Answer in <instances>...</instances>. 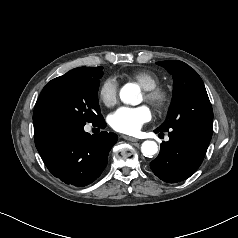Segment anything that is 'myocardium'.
<instances>
[{
  "label": "myocardium",
  "instance_id": "1",
  "mask_svg": "<svg viewBox=\"0 0 238 238\" xmlns=\"http://www.w3.org/2000/svg\"><path fill=\"white\" fill-rule=\"evenodd\" d=\"M144 98L159 112L165 111L171 101L168 91L159 86L144 90Z\"/></svg>",
  "mask_w": 238,
  "mask_h": 238
}]
</instances>
